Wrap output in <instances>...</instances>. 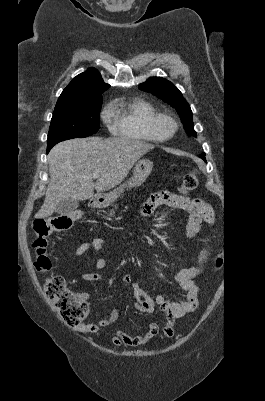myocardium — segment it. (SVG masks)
<instances>
[{
    "label": "myocardium",
    "instance_id": "myocardium-1",
    "mask_svg": "<svg viewBox=\"0 0 265 401\" xmlns=\"http://www.w3.org/2000/svg\"><path fill=\"white\" fill-rule=\"evenodd\" d=\"M165 125L168 127L167 133H162L161 128ZM179 128V124L175 118L167 114H159L152 120V130L158 141H166L172 138Z\"/></svg>",
    "mask_w": 265,
    "mask_h": 401
}]
</instances>
